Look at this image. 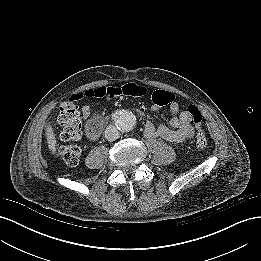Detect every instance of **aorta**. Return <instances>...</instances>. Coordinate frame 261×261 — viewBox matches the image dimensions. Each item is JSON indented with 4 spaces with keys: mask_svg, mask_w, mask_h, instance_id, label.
<instances>
[{
    "mask_svg": "<svg viewBox=\"0 0 261 261\" xmlns=\"http://www.w3.org/2000/svg\"><path fill=\"white\" fill-rule=\"evenodd\" d=\"M115 124L123 132L131 131L136 124V116L130 110H121L117 113Z\"/></svg>",
    "mask_w": 261,
    "mask_h": 261,
    "instance_id": "762f6f07",
    "label": "aorta"
}]
</instances>
